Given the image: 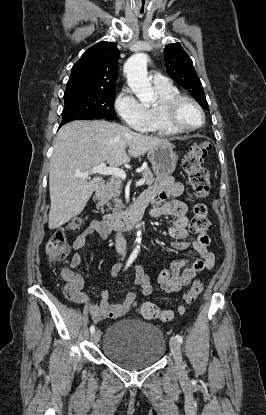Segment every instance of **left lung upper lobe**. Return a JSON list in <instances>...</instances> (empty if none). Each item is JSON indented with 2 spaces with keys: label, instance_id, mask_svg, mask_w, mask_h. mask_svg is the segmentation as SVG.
<instances>
[{
  "label": "left lung upper lobe",
  "instance_id": "5c2ea615",
  "mask_svg": "<svg viewBox=\"0 0 266 415\" xmlns=\"http://www.w3.org/2000/svg\"><path fill=\"white\" fill-rule=\"evenodd\" d=\"M165 64L168 74L179 85L190 92L195 100L209 110L201 81L193 67V62L179 43L165 48Z\"/></svg>",
  "mask_w": 266,
  "mask_h": 415
}]
</instances>
